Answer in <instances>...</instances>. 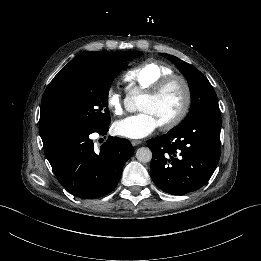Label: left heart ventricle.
<instances>
[{
    "mask_svg": "<svg viewBox=\"0 0 261 261\" xmlns=\"http://www.w3.org/2000/svg\"><path fill=\"white\" fill-rule=\"evenodd\" d=\"M183 101L184 89L180 83H175L156 99L144 97L139 110L150 112L161 125L179 112Z\"/></svg>",
    "mask_w": 261,
    "mask_h": 261,
    "instance_id": "1",
    "label": "left heart ventricle"
}]
</instances>
